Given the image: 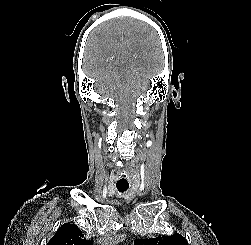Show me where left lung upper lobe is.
I'll return each mask as SVG.
<instances>
[{
	"label": "left lung upper lobe",
	"mask_w": 251,
	"mask_h": 245,
	"mask_svg": "<svg viewBox=\"0 0 251 245\" xmlns=\"http://www.w3.org/2000/svg\"><path fill=\"white\" fill-rule=\"evenodd\" d=\"M134 245H188L186 239L180 234L171 236H158L152 239H136Z\"/></svg>",
	"instance_id": "obj_1"
}]
</instances>
